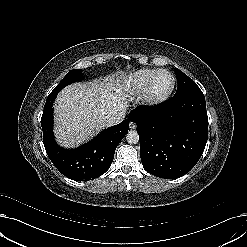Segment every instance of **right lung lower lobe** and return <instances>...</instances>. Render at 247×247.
<instances>
[{
  "label": "right lung lower lobe",
  "instance_id": "obj_1",
  "mask_svg": "<svg viewBox=\"0 0 247 247\" xmlns=\"http://www.w3.org/2000/svg\"><path fill=\"white\" fill-rule=\"evenodd\" d=\"M58 92L47 98L41 118L43 143L54 166L75 181H88L104 174L110 167L117 145L129 129V120L112 126L84 145L68 150L57 145L53 136V102Z\"/></svg>",
  "mask_w": 247,
  "mask_h": 247
}]
</instances>
